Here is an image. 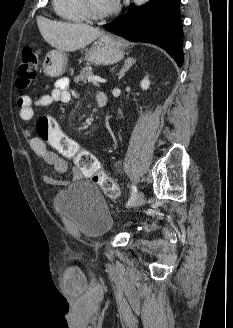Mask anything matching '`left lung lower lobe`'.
Instances as JSON below:
<instances>
[{
  "label": "left lung lower lobe",
  "instance_id": "obj_1",
  "mask_svg": "<svg viewBox=\"0 0 233 328\" xmlns=\"http://www.w3.org/2000/svg\"><path fill=\"white\" fill-rule=\"evenodd\" d=\"M180 0H150L129 7L126 15L105 25V29L129 41L162 47L179 66L183 61Z\"/></svg>",
  "mask_w": 233,
  "mask_h": 328
}]
</instances>
